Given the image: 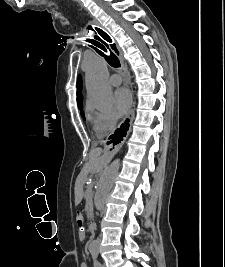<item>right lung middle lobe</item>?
<instances>
[{
  "label": "right lung middle lobe",
  "instance_id": "right-lung-middle-lobe-1",
  "mask_svg": "<svg viewBox=\"0 0 225 267\" xmlns=\"http://www.w3.org/2000/svg\"><path fill=\"white\" fill-rule=\"evenodd\" d=\"M80 110H81V115H82V117H84V113H83L82 109H80Z\"/></svg>",
  "mask_w": 225,
  "mask_h": 267
}]
</instances>
